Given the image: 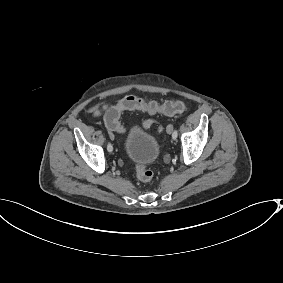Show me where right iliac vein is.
Returning a JSON list of instances; mask_svg holds the SVG:
<instances>
[{"instance_id": "right-iliac-vein-1", "label": "right iliac vein", "mask_w": 283, "mask_h": 283, "mask_svg": "<svg viewBox=\"0 0 283 283\" xmlns=\"http://www.w3.org/2000/svg\"><path fill=\"white\" fill-rule=\"evenodd\" d=\"M111 138H112V139H114V136H113V135H111Z\"/></svg>"}]
</instances>
